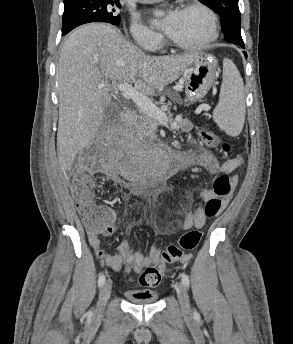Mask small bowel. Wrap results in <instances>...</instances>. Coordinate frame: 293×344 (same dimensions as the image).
Segmentation results:
<instances>
[{
    "label": "small bowel",
    "mask_w": 293,
    "mask_h": 344,
    "mask_svg": "<svg viewBox=\"0 0 293 344\" xmlns=\"http://www.w3.org/2000/svg\"><path fill=\"white\" fill-rule=\"evenodd\" d=\"M191 127V122L187 119H184L180 123V128L183 131H189ZM186 153L188 154L189 163L182 168L203 169L213 176L221 173H232L239 168L243 162V158L239 156L220 163L210 150L195 144L193 145V148L189 149ZM231 181L232 190H234L238 183V177L233 175ZM214 195L215 194L213 190L204 189L195 196L194 201L198 203H206L208 200L213 198ZM228 202L229 198L227 197L223 200L221 210L227 206ZM207 219L208 217L206 216L204 209L200 206H196L186 213L182 221V226L184 229H190L192 227L202 228L207 223ZM166 228V225L157 224L154 228V231L156 234H158L160 231L165 230ZM89 241L93 249L96 251L100 261L116 272H119L122 267L126 265L128 271H131L135 274H140L146 266L157 262L160 255V250L156 245H152L150 247L147 255H142L138 252H135L132 244L128 240H124L120 243L118 254L111 255L105 253L101 248V242L98 237L91 236ZM190 258L191 255L187 254L181 259V262L186 263Z\"/></svg>",
    "instance_id": "c3829d8e"
}]
</instances>
